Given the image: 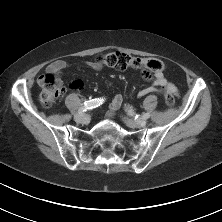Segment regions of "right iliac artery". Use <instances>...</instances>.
I'll list each match as a JSON object with an SVG mask.
<instances>
[{
  "label": "right iliac artery",
  "mask_w": 222,
  "mask_h": 222,
  "mask_svg": "<svg viewBox=\"0 0 222 222\" xmlns=\"http://www.w3.org/2000/svg\"><path fill=\"white\" fill-rule=\"evenodd\" d=\"M104 99L103 98H95L88 101H85L82 106L79 108V113H82L84 111L96 108L103 104Z\"/></svg>",
  "instance_id": "1"
}]
</instances>
